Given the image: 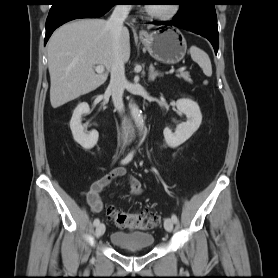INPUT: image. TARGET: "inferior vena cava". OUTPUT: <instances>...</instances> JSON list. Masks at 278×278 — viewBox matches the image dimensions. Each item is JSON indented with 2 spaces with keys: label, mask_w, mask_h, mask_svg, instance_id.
I'll list each match as a JSON object with an SVG mask.
<instances>
[{
  "label": "inferior vena cava",
  "mask_w": 278,
  "mask_h": 278,
  "mask_svg": "<svg viewBox=\"0 0 278 278\" xmlns=\"http://www.w3.org/2000/svg\"><path fill=\"white\" fill-rule=\"evenodd\" d=\"M130 8V5H116L111 17L107 21V27L111 32L114 57L108 89L111 91L114 107L119 113L124 112L123 93L127 83L124 61L121 56L120 38L123 23L129 14Z\"/></svg>",
  "instance_id": "obj_1"
}]
</instances>
